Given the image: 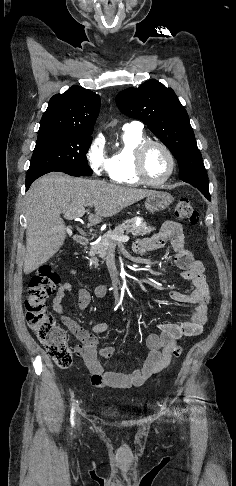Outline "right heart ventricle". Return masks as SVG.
<instances>
[{"instance_id":"e07e8e85","label":"right heart ventricle","mask_w":236,"mask_h":486,"mask_svg":"<svg viewBox=\"0 0 236 486\" xmlns=\"http://www.w3.org/2000/svg\"><path fill=\"white\" fill-rule=\"evenodd\" d=\"M122 145L109 157V177L122 185L137 186L142 184L134 170V151L146 140L141 129L126 128L121 135Z\"/></svg>"}]
</instances>
